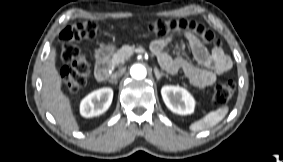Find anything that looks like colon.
<instances>
[{
	"label": "colon",
	"instance_id": "colon-1",
	"mask_svg": "<svg viewBox=\"0 0 283 162\" xmlns=\"http://www.w3.org/2000/svg\"><path fill=\"white\" fill-rule=\"evenodd\" d=\"M148 30L160 38L189 34L206 44L216 47L219 45L211 30L187 19H158L148 25ZM97 32L96 21L84 20L66 27L60 34L61 59L64 63L61 78L65 89L70 93H76L84 87L90 74V64L77 46V42L93 39ZM234 90V82L231 79L220 81L214 87L213 102L216 105L226 104L232 98Z\"/></svg>",
	"mask_w": 283,
	"mask_h": 162
}]
</instances>
